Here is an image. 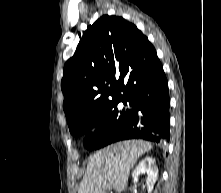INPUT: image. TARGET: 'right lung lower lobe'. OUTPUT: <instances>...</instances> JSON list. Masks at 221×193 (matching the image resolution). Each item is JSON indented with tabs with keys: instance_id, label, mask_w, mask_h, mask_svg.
<instances>
[{
	"instance_id": "obj_1",
	"label": "right lung lower lobe",
	"mask_w": 221,
	"mask_h": 193,
	"mask_svg": "<svg viewBox=\"0 0 221 193\" xmlns=\"http://www.w3.org/2000/svg\"><path fill=\"white\" fill-rule=\"evenodd\" d=\"M132 114L108 144L137 138L163 143L170 138L168 82L161 63L138 85L131 97Z\"/></svg>"
}]
</instances>
